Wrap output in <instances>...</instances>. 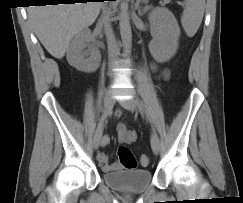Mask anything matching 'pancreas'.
I'll list each match as a JSON object with an SVG mask.
<instances>
[{
    "instance_id": "pancreas-1",
    "label": "pancreas",
    "mask_w": 243,
    "mask_h": 203,
    "mask_svg": "<svg viewBox=\"0 0 243 203\" xmlns=\"http://www.w3.org/2000/svg\"><path fill=\"white\" fill-rule=\"evenodd\" d=\"M170 2V0H164V4H167V3H169ZM147 9V8H146Z\"/></svg>"
}]
</instances>
